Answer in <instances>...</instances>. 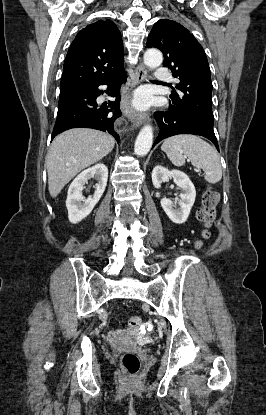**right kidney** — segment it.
<instances>
[{"instance_id": "right-kidney-1", "label": "right kidney", "mask_w": 266, "mask_h": 415, "mask_svg": "<svg viewBox=\"0 0 266 415\" xmlns=\"http://www.w3.org/2000/svg\"><path fill=\"white\" fill-rule=\"evenodd\" d=\"M91 178L97 181L96 190L92 196L86 199L82 191L85 188V183ZM107 179L108 169L104 164L99 163L84 170L73 180L68 189L66 200L68 218L71 223L76 224L91 213L105 191Z\"/></svg>"}]
</instances>
